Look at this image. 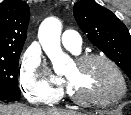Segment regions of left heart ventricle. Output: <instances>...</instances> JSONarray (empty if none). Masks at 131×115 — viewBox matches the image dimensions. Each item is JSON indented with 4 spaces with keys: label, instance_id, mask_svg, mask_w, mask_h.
<instances>
[{
    "label": "left heart ventricle",
    "instance_id": "left-heart-ventricle-1",
    "mask_svg": "<svg viewBox=\"0 0 131 115\" xmlns=\"http://www.w3.org/2000/svg\"><path fill=\"white\" fill-rule=\"evenodd\" d=\"M72 91L92 98H109L118 93L120 82L114 70L102 61H92L84 66L73 64L65 73Z\"/></svg>",
    "mask_w": 131,
    "mask_h": 115
}]
</instances>
